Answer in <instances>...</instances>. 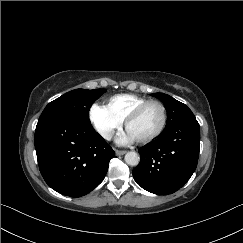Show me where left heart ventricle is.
Instances as JSON below:
<instances>
[{"label":"left heart ventricle","mask_w":243,"mask_h":243,"mask_svg":"<svg viewBox=\"0 0 243 243\" xmlns=\"http://www.w3.org/2000/svg\"><path fill=\"white\" fill-rule=\"evenodd\" d=\"M161 121V108L156 104H152L143 111L138 119L129 125L128 132L135 140H141L154 133L159 128Z\"/></svg>","instance_id":"b2bd125f"}]
</instances>
